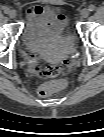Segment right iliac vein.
<instances>
[{
  "instance_id": "1",
  "label": "right iliac vein",
  "mask_w": 104,
  "mask_h": 137,
  "mask_svg": "<svg viewBox=\"0 0 104 137\" xmlns=\"http://www.w3.org/2000/svg\"><path fill=\"white\" fill-rule=\"evenodd\" d=\"M8 16H9L10 18H15V17L17 16V12H16L14 9L9 10V11H8Z\"/></svg>"
}]
</instances>
